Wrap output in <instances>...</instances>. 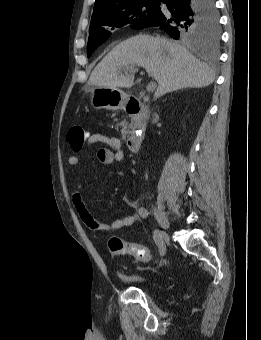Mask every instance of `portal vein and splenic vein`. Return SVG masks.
I'll list each match as a JSON object with an SVG mask.
<instances>
[{
	"label": "portal vein and splenic vein",
	"instance_id": "1",
	"mask_svg": "<svg viewBox=\"0 0 261 340\" xmlns=\"http://www.w3.org/2000/svg\"><path fill=\"white\" fill-rule=\"evenodd\" d=\"M135 69V67H130V68H128L127 70L128 71H133ZM156 83L155 82H151V83H149L148 84V86H147V91L149 92V93H151V92H154V90L156 89Z\"/></svg>",
	"mask_w": 261,
	"mask_h": 340
}]
</instances>
